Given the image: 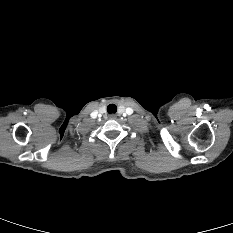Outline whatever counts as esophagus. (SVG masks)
<instances>
[{
	"instance_id": "34e87169",
	"label": "esophagus",
	"mask_w": 233,
	"mask_h": 233,
	"mask_svg": "<svg viewBox=\"0 0 233 233\" xmlns=\"http://www.w3.org/2000/svg\"><path fill=\"white\" fill-rule=\"evenodd\" d=\"M116 116L114 114L110 115V119H115Z\"/></svg>"
}]
</instances>
